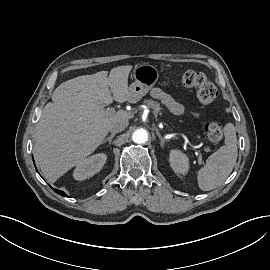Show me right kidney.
I'll list each match as a JSON object with an SVG mask.
<instances>
[{
  "mask_svg": "<svg viewBox=\"0 0 270 270\" xmlns=\"http://www.w3.org/2000/svg\"><path fill=\"white\" fill-rule=\"evenodd\" d=\"M107 156L104 153L94 154L81 160L73 172V178L78 181L85 180L98 173L104 166Z\"/></svg>",
  "mask_w": 270,
  "mask_h": 270,
  "instance_id": "ca27d5eb",
  "label": "right kidney"
}]
</instances>
